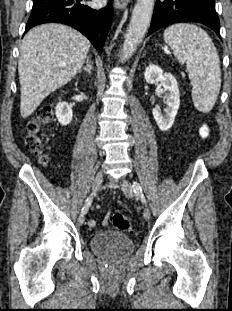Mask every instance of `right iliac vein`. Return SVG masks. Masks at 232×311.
<instances>
[{
    "label": "right iliac vein",
    "instance_id": "obj_1",
    "mask_svg": "<svg viewBox=\"0 0 232 311\" xmlns=\"http://www.w3.org/2000/svg\"><path fill=\"white\" fill-rule=\"evenodd\" d=\"M103 172L102 171H99L95 178H94V181H93V184H92V191L93 192H96L99 190L102 182H103ZM85 221V214L81 213L80 216L78 217V223L79 224H83Z\"/></svg>",
    "mask_w": 232,
    "mask_h": 311
}]
</instances>
